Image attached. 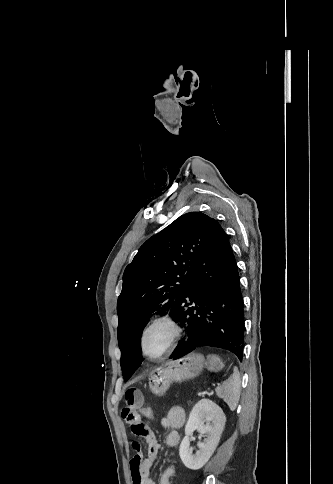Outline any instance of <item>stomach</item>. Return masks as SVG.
I'll list each match as a JSON object with an SVG mask.
<instances>
[{
	"mask_svg": "<svg viewBox=\"0 0 333 484\" xmlns=\"http://www.w3.org/2000/svg\"><path fill=\"white\" fill-rule=\"evenodd\" d=\"M223 367L224 363L218 356L209 355L205 358L202 354L190 353L155 368L149 376V388L154 395L162 397L174 381L194 378L203 368L218 372Z\"/></svg>",
	"mask_w": 333,
	"mask_h": 484,
	"instance_id": "obj_1",
	"label": "stomach"
}]
</instances>
